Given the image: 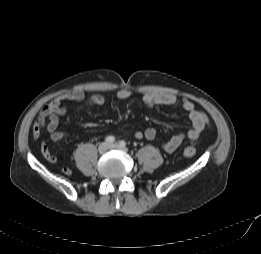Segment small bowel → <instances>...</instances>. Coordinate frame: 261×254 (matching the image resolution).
I'll return each mask as SVG.
<instances>
[{"label":"small bowel","instance_id":"1","mask_svg":"<svg viewBox=\"0 0 261 254\" xmlns=\"http://www.w3.org/2000/svg\"><path fill=\"white\" fill-rule=\"evenodd\" d=\"M130 96L131 92L128 89H120L117 92V97L119 99H127ZM85 98L86 95L81 90L67 91L53 98L41 109L36 121L34 122L32 127L33 138L35 140L39 139L42 129L46 126L47 132L53 141L64 139L66 133L59 130V122L60 117L65 115L67 112L65 102H80L85 100ZM88 100L92 104L98 106L105 103V97L101 94H92ZM141 100L146 108L179 105L188 114L192 127L179 132L163 143L162 148L167 153H172L177 150L185 139H197L200 133L210 125L208 117L203 112L196 109L192 101L185 98H179L172 93L148 91L142 94ZM134 136L137 139L146 138L147 140H153L156 137V130L150 127L144 131H136ZM41 153L48 162L52 164L58 162V159L50 152L44 141L41 143Z\"/></svg>","mask_w":261,"mask_h":254}]
</instances>
